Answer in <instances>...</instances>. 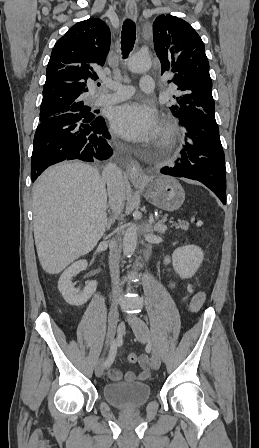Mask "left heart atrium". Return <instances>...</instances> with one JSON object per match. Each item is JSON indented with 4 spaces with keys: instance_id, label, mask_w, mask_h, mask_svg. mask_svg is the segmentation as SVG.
<instances>
[{
    "instance_id": "obj_1",
    "label": "left heart atrium",
    "mask_w": 259,
    "mask_h": 448,
    "mask_svg": "<svg viewBox=\"0 0 259 448\" xmlns=\"http://www.w3.org/2000/svg\"><path fill=\"white\" fill-rule=\"evenodd\" d=\"M111 125L118 135L135 142L155 137L160 129L156 110L141 101L127 102L115 108Z\"/></svg>"
}]
</instances>
